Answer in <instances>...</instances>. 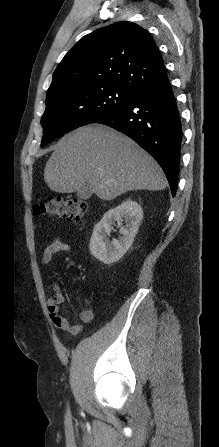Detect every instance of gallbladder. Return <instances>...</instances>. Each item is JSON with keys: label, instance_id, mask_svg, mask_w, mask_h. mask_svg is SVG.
<instances>
[{"label": "gallbladder", "instance_id": "gallbladder-1", "mask_svg": "<svg viewBox=\"0 0 219 447\" xmlns=\"http://www.w3.org/2000/svg\"><path fill=\"white\" fill-rule=\"evenodd\" d=\"M76 194L79 198L87 200L92 196L93 192L88 185H84L83 187H81L79 190L76 191Z\"/></svg>", "mask_w": 219, "mask_h": 447}]
</instances>
